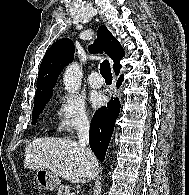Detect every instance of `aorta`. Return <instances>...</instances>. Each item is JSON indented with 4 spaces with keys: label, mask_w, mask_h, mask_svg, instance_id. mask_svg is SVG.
<instances>
[{
    "label": "aorta",
    "mask_w": 189,
    "mask_h": 195,
    "mask_svg": "<svg viewBox=\"0 0 189 195\" xmlns=\"http://www.w3.org/2000/svg\"><path fill=\"white\" fill-rule=\"evenodd\" d=\"M82 70L77 63L70 64L64 73L63 82L65 90L69 93H76L80 89Z\"/></svg>",
    "instance_id": "1"
}]
</instances>
